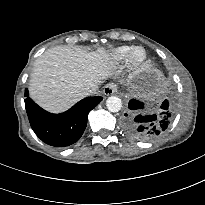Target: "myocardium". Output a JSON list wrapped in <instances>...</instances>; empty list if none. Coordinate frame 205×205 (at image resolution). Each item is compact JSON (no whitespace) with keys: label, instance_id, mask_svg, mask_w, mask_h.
I'll return each instance as SVG.
<instances>
[{"label":"myocardium","instance_id":"obj_1","mask_svg":"<svg viewBox=\"0 0 205 205\" xmlns=\"http://www.w3.org/2000/svg\"><path fill=\"white\" fill-rule=\"evenodd\" d=\"M147 60V52L143 47L137 46L130 50L126 57V64L130 70L141 68Z\"/></svg>","mask_w":205,"mask_h":205}]
</instances>
